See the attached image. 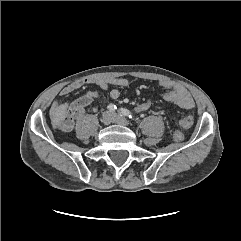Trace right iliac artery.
<instances>
[{
  "instance_id": "obj_1",
  "label": "right iliac artery",
  "mask_w": 241,
  "mask_h": 241,
  "mask_svg": "<svg viewBox=\"0 0 241 241\" xmlns=\"http://www.w3.org/2000/svg\"><path fill=\"white\" fill-rule=\"evenodd\" d=\"M108 109H109V111L113 112V111H115L117 109V107L114 104H109L108 105Z\"/></svg>"
}]
</instances>
